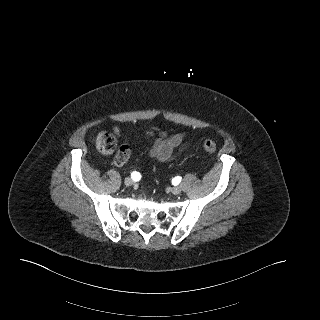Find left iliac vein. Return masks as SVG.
<instances>
[{"label":"left iliac vein","mask_w":320,"mask_h":320,"mask_svg":"<svg viewBox=\"0 0 320 320\" xmlns=\"http://www.w3.org/2000/svg\"><path fill=\"white\" fill-rule=\"evenodd\" d=\"M181 191H182L181 186H174V187L171 188V192H172V194H174V195L180 194Z\"/></svg>","instance_id":"left-iliac-vein-1"}]
</instances>
